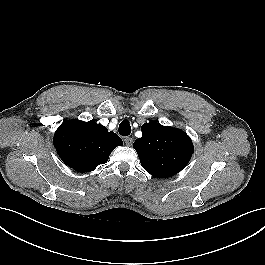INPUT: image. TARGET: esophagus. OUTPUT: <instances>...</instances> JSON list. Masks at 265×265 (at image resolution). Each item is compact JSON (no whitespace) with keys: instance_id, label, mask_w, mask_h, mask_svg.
Segmentation results:
<instances>
[{"instance_id":"1","label":"esophagus","mask_w":265,"mask_h":265,"mask_svg":"<svg viewBox=\"0 0 265 265\" xmlns=\"http://www.w3.org/2000/svg\"><path fill=\"white\" fill-rule=\"evenodd\" d=\"M124 142L127 146H131L133 144V138L127 137L124 139Z\"/></svg>"}]
</instances>
